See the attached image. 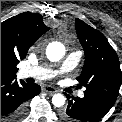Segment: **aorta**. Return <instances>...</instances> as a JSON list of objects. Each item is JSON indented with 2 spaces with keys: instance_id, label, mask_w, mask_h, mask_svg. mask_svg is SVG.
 <instances>
[{
  "instance_id": "obj_1",
  "label": "aorta",
  "mask_w": 122,
  "mask_h": 122,
  "mask_svg": "<svg viewBox=\"0 0 122 122\" xmlns=\"http://www.w3.org/2000/svg\"><path fill=\"white\" fill-rule=\"evenodd\" d=\"M47 58L50 61L56 62L61 60L65 55V47L60 42H52L46 49ZM52 104L55 107H62L65 104V97L62 94H55L52 97Z\"/></svg>"
}]
</instances>
